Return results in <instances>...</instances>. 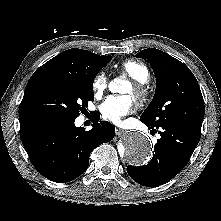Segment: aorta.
<instances>
[{
  "label": "aorta",
  "instance_id": "obj_1",
  "mask_svg": "<svg viewBox=\"0 0 221 221\" xmlns=\"http://www.w3.org/2000/svg\"><path fill=\"white\" fill-rule=\"evenodd\" d=\"M126 83L121 78H116L109 84L111 92L124 93L123 85ZM121 155L133 165H142L146 163L152 154V145L150 139L139 131L128 133L122 142Z\"/></svg>",
  "mask_w": 221,
  "mask_h": 221
}]
</instances>
